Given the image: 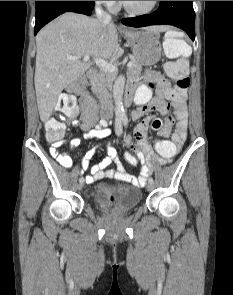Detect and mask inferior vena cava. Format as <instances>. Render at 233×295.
<instances>
[{
  "mask_svg": "<svg viewBox=\"0 0 233 295\" xmlns=\"http://www.w3.org/2000/svg\"><path fill=\"white\" fill-rule=\"evenodd\" d=\"M100 4H101L100 1H97L96 7H95L96 16L102 24L107 25L111 22V16L110 14L102 10ZM107 104L110 108H113V101L111 97L109 98Z\"/></svg>",
  "mask_w": 233,
  "mask_h": 295,
  "instance_id": "602c4592",
  "label": "inferior vena cava"
}]
</instances>
